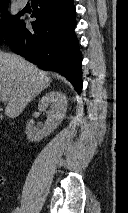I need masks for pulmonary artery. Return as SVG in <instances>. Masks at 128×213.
<instances>
[{"mask_svg":"<svg viewBox=\"0 0 128 213\" xmlns=\"http://www.w3.org/2000/svg\"><path fill=\"white\" fill-rule=\"evenodd\" d=\"M28 0H17V4L20 8H24L27 5Z\"/></svg>","mask_w":128,"mask_h":213,"instance_id":"obj_1","label":"pulmonary artery"}]
</instances>
